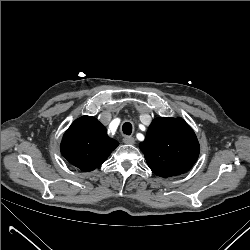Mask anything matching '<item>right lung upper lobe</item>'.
<instances>
[{"label": "right lung upper lobe", "mask_w": 250, "mask_h": 250, "mask_svg": "<svg viewBox=\"0 0 250 250\" xmlns=\"http://www.w3.org/2000/svg\"><path fill=\"white\" fill-rule=\"evenodd\" d=\"M118 145L96 118L82 116L63 135L60 150L72 165L88 172L99 167Z\"/></svg>", "instance_id": "cb5924a9"}]
</instances>
